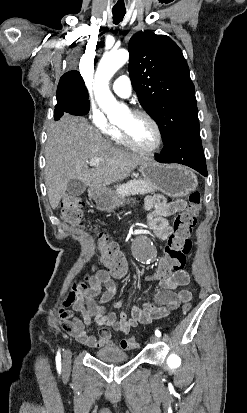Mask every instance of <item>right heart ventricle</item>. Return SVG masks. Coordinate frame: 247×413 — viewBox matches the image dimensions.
Segmentation results:
<instances>
[{
  "label": "right heart ventricle",
  "instance_id": "obj_1",
  "mask_svg": "<svg viewBox=\"0 0 247 413\" xmlns=\"http://www.w3.org/2000/svg\"><path fill=\"white\" fill-rule=\"evenodd\" d=\"M110 136H111L112 139H113L118 145H120L121 147L129 148V146H128V145L123 141V139L121 138V135H120V133H119L118 130H115L114 132H112V133L110 134ZM119 151H121V150H119Z\"/></svg>",
  "mask_w": 247,
  "mask_h": 413
}]
</instances>
